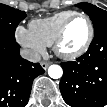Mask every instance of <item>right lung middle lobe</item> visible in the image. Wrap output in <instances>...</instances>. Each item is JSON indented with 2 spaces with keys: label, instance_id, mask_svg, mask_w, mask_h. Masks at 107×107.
Wrapping results in <instances>:
<instances>
[{
  "label": "right lung middle lobe",
  "instance_id": "obj_1",
  "mask_svg": "<svg viewBox=\"0 0 107 107\" xmlns=\"http://www.w3.org/2000/svg\"><path fill=\"white\" fill-rule=\"evenodd\" d=\"M25 17L24 11L0 4V40L16 42L15 29Z\"/></svg>",
  "mask_w": 107,
  "mask_h": 107
}]
</instances>
